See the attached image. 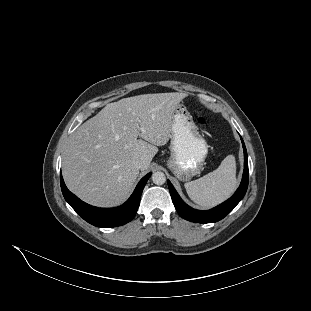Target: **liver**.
Here are the masks:
<instances>
[{
    "label": "liver",
    "mask_w": 311,
    "mask_h": 311,
    "mask_svg": "<svg viewBox=\"0 0 311 311\" xmlns=\"http://www.w3.org/2000/svg\"><path fill=\"white\" fill-rule=\"evenodd\" d=\"M186 96L167 92L122 98L84 122L64 151L68 189L94 206L124 202L139 172L149 168L158 147L171 138L173 114ZM136 159L143 161L140 169L133 165Z\"/></svg>",
    "instance_id": "liver-1"
}]
</instances>
